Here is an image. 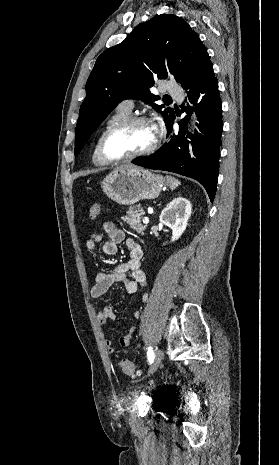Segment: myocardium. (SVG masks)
<instances>
[{
  "instance_id": "f54148a6",
  "label": "myocardium",
  "mask_w": 279,
  "mask_h": 465,
  "mask_svg": "<svg viewBox=\"0 0 279 465\" xmlns=\"http://www.w3.org/2000/svg\"><path fill=\"white\" fill-rule=\"evenodd\" d=\"M140 123L141 124L151 125L154 128L155 133H154L152 143L142 151L132 153V154H129V155H126V156H123V157H119V158L110 157L106 152V143H107L108 139L110 138V136L113 133H115V132H117V131H119L121 129L130 127V126L135 125V124H140ZM158 144H159V135H158V132L156 131L155 127L153 126L152 122L147 117H144V116H132V117H128L126 119H123V120L113 124L112 126H110L103 133V135L101 136L100 141H99L98 152H99L100 158L106 164H118V163L127 162V161H131V160H134V159H137V158H141V157H145L147 155H150L151 153H153L157 149Z\"/></svg>"
}]
</instances>
